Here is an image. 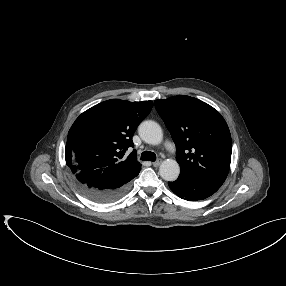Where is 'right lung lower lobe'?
<instances>
[{
	"instance_id": "1",
	"label": "right lung lower lobe",
	"mask_w": 286,
	"mask_h": 286,
	"mask_svg": "<svg viewBox=\"0 0 286 286\" xmlns=\"http://www.w3.org/2000/svg\"><path fill=\"white\" fill-rule=\"evenodd\" d=\"M139 172L137 173V175ZM135 175L134 177H136ZM133 177V178H134ZM131 178L130 180H132ZM118 184H109L105 187H95L91 181H85L81 177L76 176V184L78 188L91 200L98 203H110L121 198L129 188V181Z\"/></svg>"
}]
</instances>
